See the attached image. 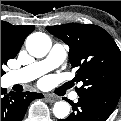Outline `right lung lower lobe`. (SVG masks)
Returning <instances> with one entry per match:
<instances>
[{
	"mask_svg": "<svg viewBox=\"0 0 121 121\" xmlns=\"http://www.w3.org/2000/svg\"><path fill=\"white\" fill-rule=\"evenodd\" d=\"M42 97V94L35 92L6 94V90L1 88V121H21L29 103Z\"/></svg>",
	"mask_w": 121,
	"mask_h": 121,
	"instance_id": "obj_1",
	"label": "right lung lower lobe"
}]
</instances>
